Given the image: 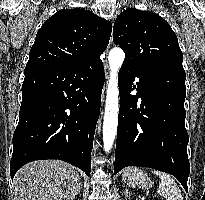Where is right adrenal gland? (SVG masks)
<instances>
[{"label":"right adrenal gland","mask_w":205,"mask_h":200,"mask_svg":"<svg viewBox=\"0 0 205 200\" xmlns=\"http://www.w3.org/2000/svg\"><path fill=\"white\" fill-rule=\"evenodd\" d=\"M81 189H82V184H81V181L79 180L78 181V189H77V193L76 194L80 193ZM73 200H75V198H73Z\"/></svg>","instance_id":"right-adrenal-gland-1"}]
</instances>
